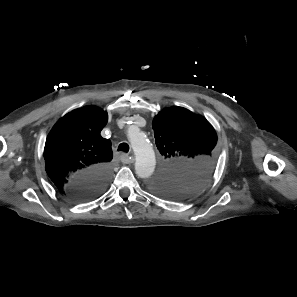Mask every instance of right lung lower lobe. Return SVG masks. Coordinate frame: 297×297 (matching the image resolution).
Returning <instances> with one entry per match:
<instances>
[{"mask_svg": "<svg viewBox=\"0 0 297 297\" xmlns=\"http://www.w3.org/2000/svg\"><path fill=\"white\" fill-rule=\"evenodd\" d=\"M109 167H95L78 173L63 191V194L74 201H86L100 194L108 184Z\"/></svg>", "mask_w": 297, "mask_h": 297, "instance_id": "right-lung-lower-lobe-1", "label": "right lung lower lobe"}]
</instances>
